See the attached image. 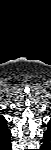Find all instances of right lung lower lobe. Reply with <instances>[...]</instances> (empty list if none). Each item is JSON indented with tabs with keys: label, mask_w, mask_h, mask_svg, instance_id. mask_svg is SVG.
<instances>
[{
	"label": "right lung lower lobe",
	"mask_w": 51,
	"mask_h": 150,
	"mask_svg": "<svg viewBox=\"0 0 51 150\" xmlns=\"http://www.w3.org/2000/svg\"><path fill=\"white\" fill-rule=\"evenodd\" d=\"M11 148H12V145H11V142H10L8 145H6L4 147V150H11Z\"/></svg>",
	"instance_id": "right-lung-lower-lobe-1"
}]
</instances>
